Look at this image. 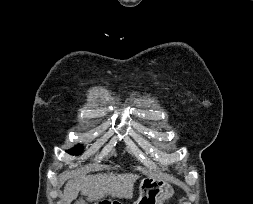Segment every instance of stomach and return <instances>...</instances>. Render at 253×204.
Segmentation results:
<instances>
[{
    "label": "stomach",
    "instance_id": "obj_1",
    "mask_svg": "<svg viewBox=\"0 0 253 204\" xmlns=\"http://www.w3.org/2000/svg\"><path fill=\"white\" fill-rule=\"evenodd\" d=\"M140 195L134 204H164L173 194V187L164 180L146 175L140 182Z\"/></svg>",
    "mask_w": 253,
    "mask_h": 204
}]
</instances>
